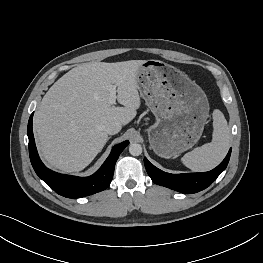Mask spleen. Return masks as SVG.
Masks as SVG:
<instances>
[{
	"mask_svg": "<svg viewBox=\"0 0 263 263\" xmlns=\"http://www.w3.org/2000/svg\"><path fill=\"white\" fill-rule=\"evenodd\" d=\"M230 131L223 113L213 111L212 141L186 153L181 161L193 171L204 172L215 168L226 156L230 146Z\"/></svg>",
	"mask_w": 263,
	"mask_h": 263,
	"instance_id": "1",
	"label": "spleen"
}]
</instances>
